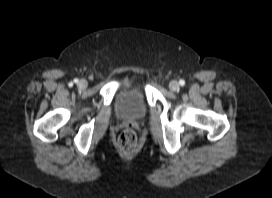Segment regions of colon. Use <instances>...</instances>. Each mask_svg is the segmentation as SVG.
Masks as SVG:
<instances>
[{"label":"colon","instance_id":"colon-1","mask_svg":"<svg viewBox=\"0 0 272 198\" xmlns=\"http://www.w3.org/2000/svg\"><path fill=\"white\" fill-rule=\"evenodd\" d=\"M117 147L124 155H129L136 150L137 135L132 128H125L117 138Z\"/></svg>","mask_w":272,"mask_h":198}]
</instances>
